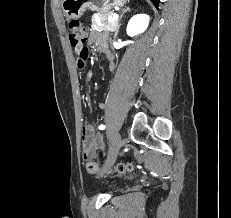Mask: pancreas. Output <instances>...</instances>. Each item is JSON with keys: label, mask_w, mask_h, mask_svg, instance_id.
<instances>
[{"label": "pancreas", "mask_w": 231, "mask_h": 218, "mask_svg": "<svg viewBox=\"0 0 231 218\" xmlns=\"http://www.w3.org/2000/svg\"><path fill=\"white\" fill-rule=\"evenodd\" d=\"M99 21L97 22L95 17H92V30L95 31H114L116 30L118 26V20L110 23L109 25H105L108 21L109 17H113L114 13L113 12H107L105 14L100 13L99 15Z\"/></svg>", "instance_id": "pancreas-1"}]
</instances>
